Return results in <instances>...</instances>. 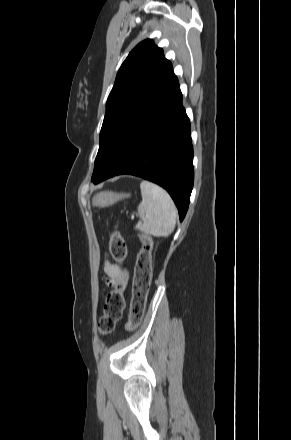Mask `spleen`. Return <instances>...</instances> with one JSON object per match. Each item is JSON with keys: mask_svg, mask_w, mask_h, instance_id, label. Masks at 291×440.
Masks as SVG:
<instances>
[{"mask_svg": "<svg viewBox=\"0 0 291 440\" xmlns=\"http://www.w3.org/2000/svg\"><path fill=\"white\" fill-rule=\"evenodd\" d=\"M142 201L138 206L140 220L136 229L155 237L169 236L176 224L177 209L170 195L149 181L140 184Z\"/></svg>", "mask_w": 291, "mask_h": 440, "instance_id": "obj_1", "label": "spleen"}]
</instances>
